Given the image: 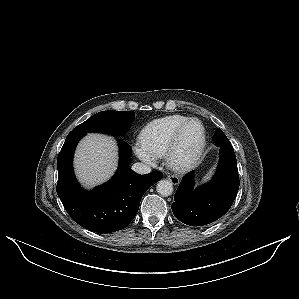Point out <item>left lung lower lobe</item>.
<instances>
[{"label": "left lung lower lobe", "instance_id": "0a47b994", "mask_svg": "<svg viewBox=\"0 0 299 299\" xmlns=\"http://www.w3.org/2000/svg\"><path fill=\"white\" fill-rule=\"evenodd\" d=\"M215 144L220 147V160L213 179L194 188V172L191 171L182 178L174 196L173 214L190 226L207 225L221 218L230 209L239 189L236 156L231 143Z\"/></svg>", "mask_w": 299, "mask_h": 299}]
</instances>
